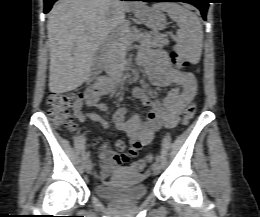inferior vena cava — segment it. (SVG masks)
<instances>
[{
	"instance_id": "602c4592",
	"label": "inferior vena cava",
	"mask_w": 260,
	"mask_h": 217,
	"mask_svg": "<svg viewBox=\"0 0 260 217\" xmlns=\"http://www.w3.org/2000/svg\"><path fill=\"white\" fill-rule=\"evenodd\" d=\"M110 2H111V8H112L113 13L119 14L120 12L118 9V5H119L120 1L119 0H110Z\"/></svg>"
}]
</instances>
